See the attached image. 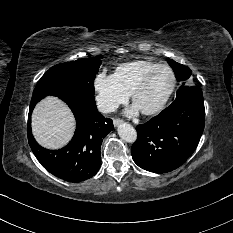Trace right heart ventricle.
Instances as JSON below:
<instances>
[{"mask_svg": "<svg viewBox=\"0 0 233 233\" xmlns=\"http://www.w3.org/2000/svg\"><path fill=\"white\" fill-rule=\"evenodd\" d=\"M158 63L147 60H135L118 65L114 71V77L119 85L131 94L133 88L141 78Z\"/></svg>", "mask_w": 233, "mask_h": 233, "instance_id": "right-heart-ventricle-1", "label": "right heart ventricle"}]
</instances>
